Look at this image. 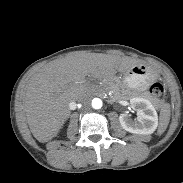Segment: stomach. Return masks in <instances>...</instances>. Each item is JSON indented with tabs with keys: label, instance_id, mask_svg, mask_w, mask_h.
Returning <instances> with one entry per match:
<instances>
[{
	"label": "stomach",
	"instance_id": "stomach-1",
	"mask_svg": "<svg viewBox=\"0 0 183 183\" xmlns=\"http://www.w3.org/2000/svg\"><path fill=\"white\" fill-rule=\"evenodd\" d=\"M154 77L155 72L152 69L143 64H138L126 72L123 83L130 89L145 90Z\"/></svg>",
	"mask_w": 183,
	"mask_h": 183
}]
</instances>
